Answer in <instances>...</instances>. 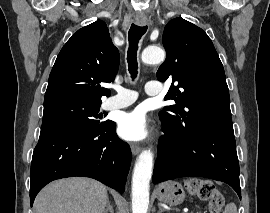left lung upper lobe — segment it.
<instances>
[{
    "label": "left lung upper lobe",
    "mask_w": 270,
    "mask_h": 213,
    "mask_svg": "<svg viewBox=\"0 0 270 213\" xmlns=\"http://www.w3.org/2000/svg\"><path fill=\"white\" fill-rule=\"evenodd\" d=\"M162 42L167 56L157 78L177 82L165 96L177 105L159 113L163 125L180 134L200 124L233 127L224 68L205 31L175 18L165 26Z\"/></svg>",
    "instance_id": "5c2ea615"
}]
</instances>
